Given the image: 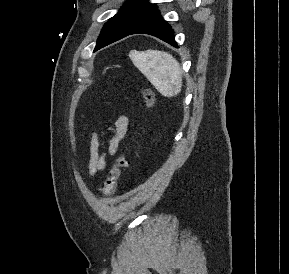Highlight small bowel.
Returning <instances> with one entry per match:
<instances>
[{"mask_svg": "<svg viewBox=\"0 0 289 274\" xmlns=\"http://www.w3.org/2000/svg\"><path fill=\"white\" fill-rule=\"evenodd\" d=\"M129 125V119L125 115H120L111 125L112 136L108 142L107 150L101 148V143L98 134L94 131L90 136L88 173L91 177L95 176L97 172L106 169V156H114L120 144L124 140Z\"/></svg>", "mask_w": 289, "mask_h": 274, "instance_id": "1", "label": "small bowel"}]
</instances>
